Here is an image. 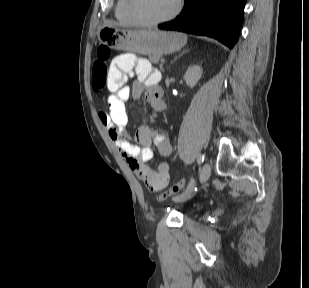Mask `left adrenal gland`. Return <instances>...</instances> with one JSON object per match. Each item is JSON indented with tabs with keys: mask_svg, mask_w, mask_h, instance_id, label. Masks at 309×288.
Here are the masks:
<instances>
[{
	"mask_svg": "<svg viewBox=\"0 0 309 288\" xmlns=\"http://www.w3.org/2000/svg\"><path fill=\"white\" fill-rule=\"evenodd\" d=\"M187 51H188V50L183 51V52L180 54V56L183 55L184 53H186Z\"/></svg>",
	"mask_w": 309,
	"mask_h": 288,
	"instance_id": "left-adrenal-gland-1",
	"label": "left adrenal gland"
}]
</instances>
